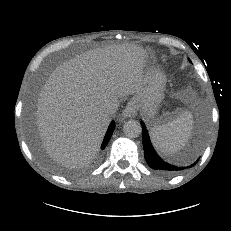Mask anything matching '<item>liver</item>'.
Masks as SVG:
<instances>
[{"label":"liver","instance_id":"obj_1","mask_svg":"<svg viewBox=\"0 0 231 231\" xmlns=\"http://www.w3.org/2000/svg\"><path fill=\"white\" fill-rule=\"evenodd\" d=\"M146 51L134 44L90 50L57 67L43 86L36 125L49 156L66 167L87 166L97 155L119 98L143 82Z\"/></svg>","mask_w":231,"mask_h":231}]
</instances>
